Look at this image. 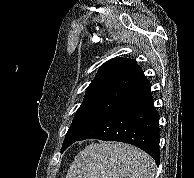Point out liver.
<instances>
[{"instance_id":"liver-1","label":"liver","mask_w":194,"mask_h":178,"mask_svg":"<svg viewBox=\"0 0 194 178\" xmlns=\"http://www.w3.org/2000/svg\"><path fill=\"white\" fill-rule=\"evenodd\" d=\"M154 160L144 151L120 142L93 143L70 165L66 178H155Z\"/></svg>"}]
</instances>
